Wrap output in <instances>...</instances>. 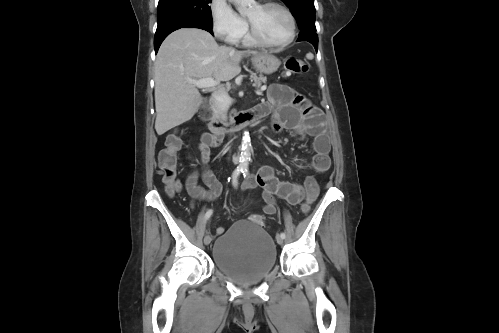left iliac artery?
Listing matches in <instances>:
<instances>
[{"mask_svg": "<svg viewBox=\"0 0 499 333\" xmlns=\"http://www.w3.org/2000/svg\"><path fill=\"white\" fill-rule=\"evenodd\" d=\"M242 173H243L244 177H246V176L248 175V169H247V168H244ZM280 236H281L283 239H285V237H286L285 233H283V232L280 234Z\"/></svg>", "mask_w": 499, "mask_h": 333, "instance_id": "44dca946", "label": "left iliac artery"}]
</instances>
